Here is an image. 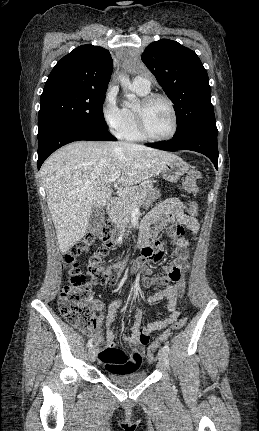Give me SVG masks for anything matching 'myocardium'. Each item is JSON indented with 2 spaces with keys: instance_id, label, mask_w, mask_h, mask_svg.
I'll return each mask as SVG.
<instances>
[{
  "instance_id": "obj_1",
  "label": "myocardium",
  "mask_w": 259,
  "mask_h": 431,
  "mask_svg": "<svg viewBox=\"0 0 259 431\" xmlns=\"http://www.w3.org/2000/svg\"><path fill=\"white\" fill-rule=\"evenodd\" d=\"M163 100L167 103V105L170 108L172 119H173V125L172 129L169 132V134L161 137H156L150 134L147 128L146 124V109L147 107L155 100ZM135 113V119H136V126L139 131V133L142 135V137L146 140L153 141V142H161V141H167L172 139L178 130V116L177 111L175 108V105L173 101L166 95L161 93H148L147 95L143 96L138 103V105L134 108Z\"/></svg>"
}]
</instances>
